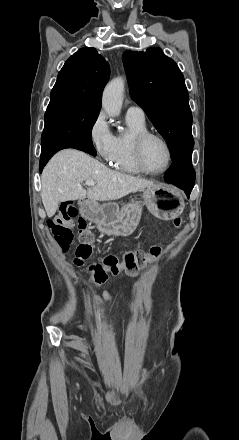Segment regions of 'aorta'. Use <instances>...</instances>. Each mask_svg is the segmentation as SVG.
I'll use <instances>...</instances> for the list:
<instances>
[{
    "instance_id": "762f6f07",
    "label": "aorta",
    "mask_w": 239,
    "mask_h": 440,
    "mask_svg": "<svg viewBox=\"0 0 239 440\" xmlns=\"http://www.w3.org/2000/svg\"><path fill=\"white\" fill-rule=\"evenodd\" d=\"M123 96L124 80L123 78H114L107 84L102 96V108L111 118L119 116L124 100Z\"/></svg>"
}]
</instances>
